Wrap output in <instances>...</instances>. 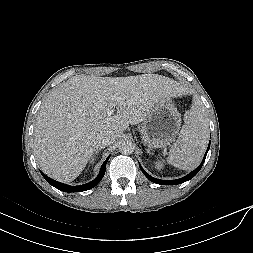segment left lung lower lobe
<instances>
[{"label": "left lung lower lobe", "mask_w": 253, "mask_h": 253, "mask_svg": "<svg viewBox=\"0 0 253 253\" xmlns=\"http://www.w3.org/2000/svg\"><path fill=\"white\" fill-rule=\"evenodd\" d=\"M209 147H210V142H209V146H208V148H207V151H206V153H205V156H204V158H203L202 163L200 164V166H199L198 168H196L194 171H192L191 173H189L188 175H186L185 177H182V178H180V179H176V180H160V179H156V178L150 176L148 173H146V172L144 171V169L142 168L141 165H139V166H140L141 171L144 173V175H145L149 180H151L152 182L157 183V184H161V185H177V184L184 183V182H186V181L192 179V178L199 172V170H200L201 167H202V164H203L204 161H205V158H206L207 152H208V150H209Z\"/></svg>", "instance_id": "obj_1"}]
</instances>
